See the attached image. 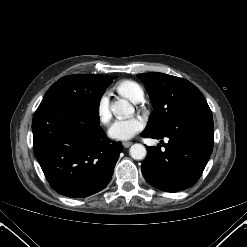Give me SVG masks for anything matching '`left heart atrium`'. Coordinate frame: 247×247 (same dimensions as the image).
I'll return each instance as SVG.
<instances>
[{
	"instance_id": "obj_1",
	"label": "left heart atrium",
	"mask_w": 247,
	"mask_h": 247,
	"mask_svg": "<svg viewBox=\"0 0 247 247\" xmlns=\"http://www.w3.org/2000/svg\"><path fill=\"white\" fill-rule=\"evenodd\" d=\"M144 127V122L140 118L116 120L108 130V134L115 140H129L140 132Z\"/></svg>"
}]
</instances>
